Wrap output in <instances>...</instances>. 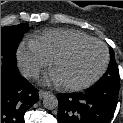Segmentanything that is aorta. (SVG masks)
I'll return each mask as SVG.
<instances>
[{
	"label": "aorta",
	"mask_w": 123,
	"mask_h": 123,
	"mask_svg": "<svg viewBox=\"0 0 123 123\" xmlns=\"http://www.w3.org/2000/svg\"><path fill=\"white\" fill-rule=\"evenodd\" d=\"M43 106L48 110H53L58 107L57 97L53 94L47 93L43 98Z\"/></svg>",
	"instance_id": "obj_1"
}]
</instances>
